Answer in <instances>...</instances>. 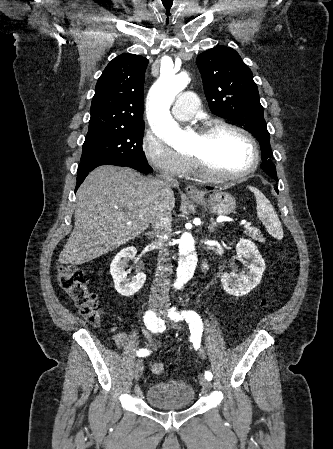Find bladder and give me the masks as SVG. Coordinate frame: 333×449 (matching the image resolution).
Listing matches in <instances>:
<instances>
[{
	"instance_id": "1",
	"label": "bladder",
	"mask_w": 333,
	"mask_h": 449,
	"mask_svg": "<svg viewBox=\"0 0 333 449\" xmlns=\"http://www.w3.org/2000/svg\"><path fill=\"white\" fill-rule=\"evenodd\" d=\"M195 392L184 381H164L151 384L146 391V401L159 409H177L193 404Z\"/></svg>"
}]
</instances>
